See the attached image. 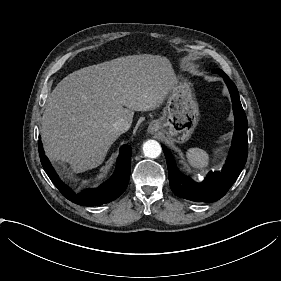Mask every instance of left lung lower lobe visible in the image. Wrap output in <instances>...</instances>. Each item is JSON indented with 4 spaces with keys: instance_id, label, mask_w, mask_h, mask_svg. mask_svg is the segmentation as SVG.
Instances as JSON below:
<instances>
[{
    "instance_id": "1",
    "label": "left lung lower lobe",
    "mask_w": 281,
    "mask_h": 281,
    "mask_svg": "<svg viewBox=\"0 0 281 281\" xmlns=\"http://www.w3.org/2000/svg\"><path fill=\"white\" fill-rule=\"evenodd\" d=\"M213 72L224 78L230 91L235 116L232 146L222 171L210 172L201 183L194 182L177 169L172 154L165 146H162L172 191L181 198L205 203L215 202L227 193L244 168L248 155L247 118L240 102L237 87L223 71L214 70Z\"/></svg>"
}]
</instances>
